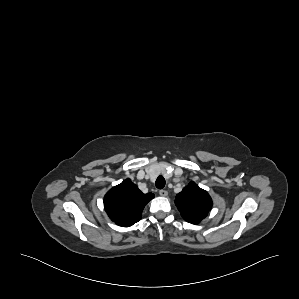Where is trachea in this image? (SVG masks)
Masks as SVG:
<instances>
[{
  "label": "trachea",
  "mask_w": 299,
  "mask_h": 299,
  "mask_svg": "<svg viewBox=\"0 0 299 299\" xmlns=\"http://www.w3.org/2000/svg\"><path fill=\"white\" fill-rule=\"evenodd\" d=\"M156 187L158 188V189H162V188H164V186H165V184H166V182H165V179H164V177L163 176H158V178L156 179Z\"/></svg>",
  "instance_id": "trachea-1"
}]
</instances>
